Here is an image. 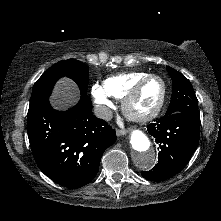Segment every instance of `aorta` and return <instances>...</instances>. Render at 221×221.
Masks as SVG:
<instances>
[{
  "instance_id": "1",
  "label": "aorta",
  "mask_w": 221,
  "mask_h": 221,
  "mask_svg": "<svg viewBox=\"0 0 221 221\" xmlns=\"http://www.w3.org/2000/svg\"><path fill=\"white\" fill-rule=\"evenodd\" d=\"M130 146L133 152L135 165L143 170L153 167L156 162V152L148 137L138 129L131 132Z\"/></svg>"
}]
</instances>
